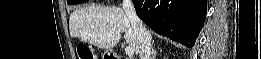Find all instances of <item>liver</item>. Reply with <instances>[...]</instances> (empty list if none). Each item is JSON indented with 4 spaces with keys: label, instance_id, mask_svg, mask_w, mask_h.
Instances as JSON below:
<instances>
[{
    "label": "liver",
    "instance_id": "liver-1",
    "mask_svg": "<svg viewBox=\"0 0 261 59\" xmlns=\"http://www.w3.org/2000/svg\"><path fill=\"white\" fill-rule=\"evenodd\" d=\"M69 30L71 37H79L102 49L114 48L124 33L126 43L139 53L135 31L120 7L83 6L70 15Z\"/></svg>",
    "mask_w": 261,
    "mask_h": 59
}]
</instances>
